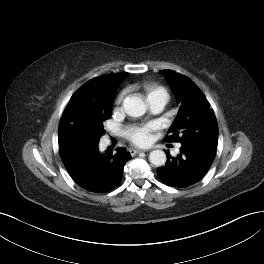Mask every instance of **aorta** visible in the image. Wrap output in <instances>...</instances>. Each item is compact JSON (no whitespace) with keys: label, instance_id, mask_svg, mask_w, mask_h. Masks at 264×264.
<instances>
[{"label":"aorta","instance_id":"obj_1","mask_svg":"<svg viewBox=\"0 0 264 264\" xmlns=\"http://www.w3.org/2000/svg\"><path fill=\"white\" fill-rule=\"evenodd\" d=\"M123 107L126 113L132 117L143 116L146 112L144 101L137 96H127L123 101ZM150 163L160 167L166 163V154L162 150H153L149 154Z\"/></svg>","mask_w":264,"mask_h":264}]
</instances>
